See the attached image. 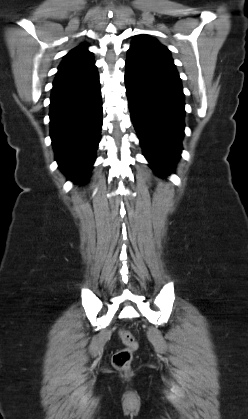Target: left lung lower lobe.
<instances>
[{
	"label": "left lung lower lobe",
	"mask_w": 248,
	"mask_h": 419,
	"mask_svg": "<svg viewBox=\"0 0 248 419\" xmlns=\"http://www.w3.org/2000/svg\"><path fill=\"white\" fill-rule=\"evenodd\" d=\"M132 123L158 174L174 171L184 136V94L175 66L129 49L125 71Z\"/></svg>",
	"instance_id": "left-lung-lower-lobe-1"
}]
</instances>
